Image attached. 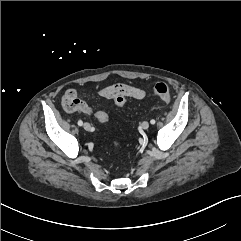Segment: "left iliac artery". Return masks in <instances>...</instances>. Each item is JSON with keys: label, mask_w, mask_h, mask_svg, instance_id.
I'll use <instances>...</instances> for the list:
<instances>
[{"label": "left iliac artery", "mask_w": 241, "mask_h": 241, "mask_svg": "<svg viewBox=\"0 0 241 241\" xmlns=\"http://www.w3.org/2000/svg\"><path fill=\"white\" fill-rule=\"evenodd\" d=\"M155 120L154 119H152L151 121H150V123L153 125V124H155Z\"/></svg>", "instance_id": "obj_1"}]
</instances>
